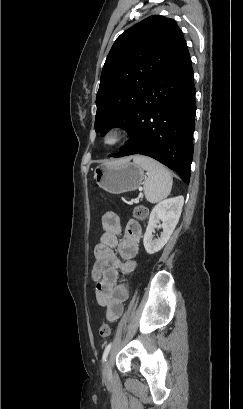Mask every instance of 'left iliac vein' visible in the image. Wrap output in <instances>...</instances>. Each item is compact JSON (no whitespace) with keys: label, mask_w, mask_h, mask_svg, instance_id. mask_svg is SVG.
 I'll use <instances>...</instances> for the list:
<instances>
[{"label":"left iliac vein","mask_w":243,"mask_h":409,"mask_svg":"<svg viewBox=\"0 0 243 409\" xmlns=\"http://www.w3.org/2000/svg\"><path fill=\"white\" fill-rule=\"evenodd\" d=\"M104 376L106 380H110L112 378V371H111V365H110L109 360H106L104 364Z\"/></svg>","instance_id":"1"}]
</instances>
